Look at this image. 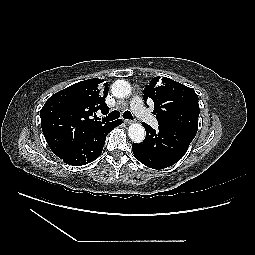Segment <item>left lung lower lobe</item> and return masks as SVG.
<instances>
[{"label":"left lung lower lobe","instance_id":"0a47b994","mask_svg":"<svg viewBox=\"0 0 255 255\" xmlns=\"http://www.w3.org/2000/svg\"><path fill=\"white\" fill-rule=\"evenodd\" d=\"M145 140L133 143L134 156L142 164L152 169H164L177 163L186 153L197 130L170 124H159L156 131L146 123Z\"/></svg>","mask_w":255,"mask_h":255}]
</instances>
